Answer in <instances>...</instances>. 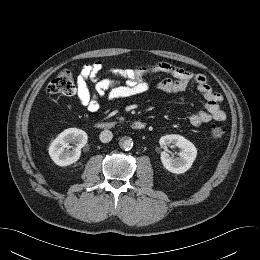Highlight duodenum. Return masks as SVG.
I'll return each mask as SVG.
<instances>
[{"mask_svg": "<svg viewBox=\"0 0 260 260\" xmlns=\"http://www.w3.org/2000/svg\"><path fill=\"white\" fill-rule=\"evenodd\" d=\"M95 126L97 129H100V130H108V129L115 128L117 126V124L112 121H98L95 123ZM130 126L135 130L141 131L145 128L146 125L142 121H135V122H132L130 124Z\"/></svg>", "mask_w": 260, "mask_h": 260, "instance_id": "410a0bca", "label": "duodenum"}]
</instances>
